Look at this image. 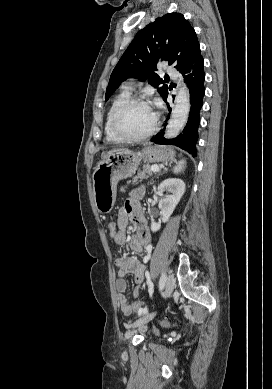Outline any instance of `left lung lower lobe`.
Masks as SVG:
<instances>
[{
	"instance_id": "left-lung-lower-lobe-1",
	"label": "left lung lower lobe",
	"mask_w": 272,
	"mask_h": 389,
	"mask_svg": "<svg viewBox=\"0 0 272 389\" xmlns=\"http://www.w3.org/2000/svg\"><path fill=\"white\" fill-rule=\"evenodd\" d=\"M204 60L200 53V46L195 49L185 67L180 71L184 76V80L190 89V113L188 122L183 132L176 138L168 141L163 138V131L152 137L151 142L160 145H175L192 155L196 156V142L198 140V126H199V112L203 104V96L205 92L204 79L205 73L203 71ZM167 96L164 98L166 101ZM169 112L171 111L169 105ZM167 121V120H166ZM165 129V128H164ZM163 129V130H164Z\"/></svg>"
}]
</instances>
